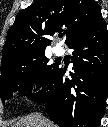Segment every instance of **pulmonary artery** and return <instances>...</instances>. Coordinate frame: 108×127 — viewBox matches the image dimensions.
Returning <instances> with one entry per match:
<instances>
[{
  "instance_id": "e3ab8cb5",
  "label": "pulmonary artery",
  "mask_w": 108,
  "mask_h": 127,
  "mask_svg": "<svg viewBox=\"0 0 108 127\" xmlns=\"http://www.w3.org/2000/svg\"><path fill=\"white\" fill-rule=\"evenodd\" d=\"M53 52H54L57 56H61V55H63L64 50H63V48H61V47H59V46H56V47H54Z\"/></svg>"
}]
</instances>
